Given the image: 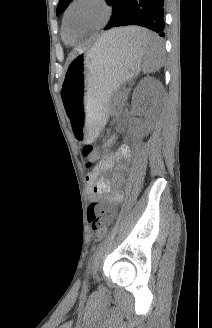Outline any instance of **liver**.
<instances>
[{
    "instance_id": "1",
    "label": "liver",
    "mask_w": 212,
    "mask_h": 328,
    "mask_svg": "<svg viewBox=\"0 0 212 328\" xmlns=\"http://www.w3.org/2000/svg\"><path fill=\"white\" fill-rule=\"evenodd\" d=\"M132 27H126V28H120V29H114L111 30L105 34H103L101 36V38H105V37H117L120 38L121 40H125V41H130V36H131V32H132ZM80 52H83V50L81 49H76L72 55V59Z\"/></svg>"
}]
</instances>
